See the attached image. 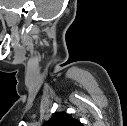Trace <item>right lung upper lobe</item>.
<instances>
[{"label":"right lung upper lobe","instance_id":"obj_1","mask_svg":"<svg viewBox=\"0 0 127 126\" xmlns=\"http://www.w3.org/2000/svg\"><path fill=\"white\" fill-rule=\"evenodd\" d=\"M43 126H83L80 121L66 112H55Z\"/></svg>","mask_w":127,"mask_h":126}]
</instances>
